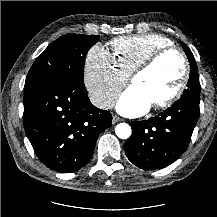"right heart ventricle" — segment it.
Segmentation results:
<instances>
[{
	"mask_svg": "<svg viewBox=\"0 0 217 217\" xmlns=\"http://www.w3.org/2000/svg\"><path fill=\"white\" fill-rule=\"evenodd\" d=\"M116 66L127 76L159 49L172 46L165 36L150 33L115 38L110 42Z\"/></svg>",
	"mask_w": 217,
	"mask_h": 217,
	"instance_id": "right-heart-ventricle-1",
	"label": "right heart ventricle"
}]
</instances>
